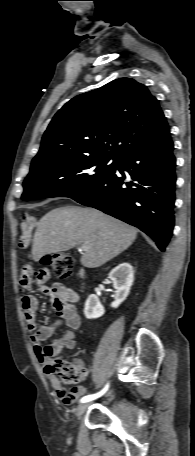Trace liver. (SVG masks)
<instances>
[{"mask_svg":"<svg viewBox=\"0 0 195 456\" xmlns=\"http://www.w3.org/2000/svg\"><path fill=\"white\" fill-rule=\"evenodd\" d=\"M137 230L92 208L61 207L44 215L33 239L35 262L47 255L60 253L83 245L81 263L97 268L132 245Z\"/></svg>","mask_w":195,"mask_h":456,"instance_id":"6515ba94","label":"liver"}]
</instances>
